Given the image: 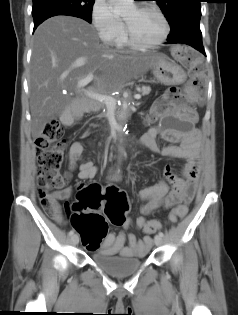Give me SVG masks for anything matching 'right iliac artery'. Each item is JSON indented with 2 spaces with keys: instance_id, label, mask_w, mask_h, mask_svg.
I'll use <instances>...</instances> for the list:
<instances>
[{
  "instance_id": "right-iliac-artery-1",
  "label": "right iliac artery",
  "mask_w": 238,
  "mask_h": 315,
  "mask_svg": "<svg viewBox=\"0 0 238 315\" xmlns=\"http://www.w3.org/2000/svg\"><path fill=\"white\" fill-rule=\"evenodd\" d=\"M73 234H74V230H71V231L69 232V235L72 236Z\"/></svg>"
}]
</instances>
